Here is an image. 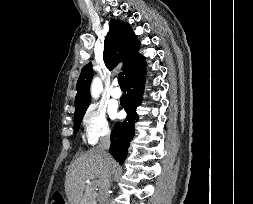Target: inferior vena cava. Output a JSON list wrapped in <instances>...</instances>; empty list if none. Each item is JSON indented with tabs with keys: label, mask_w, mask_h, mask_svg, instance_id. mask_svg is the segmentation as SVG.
Here are the masks:
<instances>
[{
	"label": "inferior vena cava",
	"mask_w": 253,
	"mask_h": 204,
	"mask_svg": "<svg viewBox=\"0 0 253 204\" xmlns=\"http://www.w3.org/2000/svg\"><path fill=\"white\" fill-rule=\"evenodd\" d=\"M110 147V133L106 131L97 146V149L102 153L105 159V168L100 181V188L98 193L99 204H107L109 197V189L111 187V175L113 172V163L107 150Z\"/></svg>",
	"instance_id": "obj_1"
}]
</instances>
